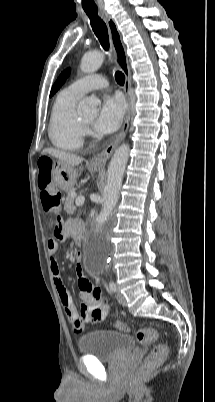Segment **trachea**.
<instances>
[{"label": "trachea", "instance_id": "trachea-1", "mask_svg": "<svg viewBox=\"0 0 215 402\" xmlns=\"http://www.w3.org/2000/svg\"><path fill=\"white\" fill-rule=\"evenodd\" d=\"M86 14L91 20L92 29L99 39L104 50H109V36L105 22L98 16L97 9H85ZM115 79L118 84L124 85L125 76L121 71H116Z\"/></svg>", "mask_w": 215, "mask_h": 402}]
</instances>
